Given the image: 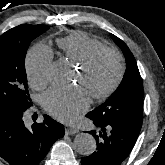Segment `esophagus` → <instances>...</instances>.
<instances>
[{
    "mask_svg": "<svg viewBox=\"0 0 165 165\" xmlns=\"http://www.w3.org/2000/svg\"><path fill=\"white\" fill-rule=\"evenodd\" d=\"M65 133H66L67 135H73V134L78 133V129L75 128V127H72V126H66V128H65Z\"/></svg>",
    "mask_w": 165,
    "mask_h": 165,
    "instance_id": "esophagus-1",
    "label": "esophagus"
}]
</instances>
